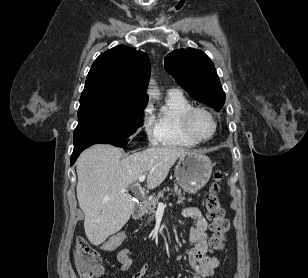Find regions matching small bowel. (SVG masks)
Wrapping results in <instances>:
<instances>
[{
	"mask_svg": "<svg viewBox=\"0 0 308 278\" xmlns=\"http://www.w3.org/2000/svg\"><path fill=\"white\" fill-rule=\"evenodd\" d=\"M181 215L193 221L189 229V241L193 246L188 250L187 258L194 274L189 278H208L213 275L220 263V259L217 256H209L207 254L209 241L207 233L208 221L201 211L194 206L183 207ZM133 255L134 252L127 248L118 252L117 259L121 263L122 273H127L130 270ZM178 259H181V257H178ZM147 272L148 265L144 264L131 278H144ZM102 274H107V271L103 269Z\"/></svg>",
	"mask_w": 308,
	"mask_h": 278,
	"instance_id": "obj_1",
	"label": "small bowel"
}]
</instances>
